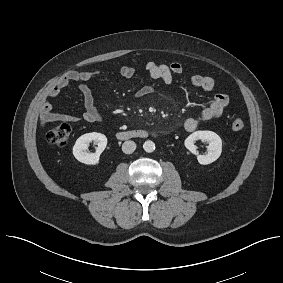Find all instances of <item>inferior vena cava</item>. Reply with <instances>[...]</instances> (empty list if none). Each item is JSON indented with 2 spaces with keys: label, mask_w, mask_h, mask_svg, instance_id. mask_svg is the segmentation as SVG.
<instances>
[{
  "label": "inferior vena cava",
  "mask_w": 283,
  "mask_h": 283,
  "mask_svg": "<svg viewBox=\"0 0 283 283\" xmlns=\"http://www.w3.org/2000/svg\"><path fill=\"white\" fill-rule=\"evenodd\" d=\"M136 149V143L134 141H125L122 145V151L125 154H131L135 151Z\"/></svg>",
  "instance_id": "602c4592"
}]
</instances>
